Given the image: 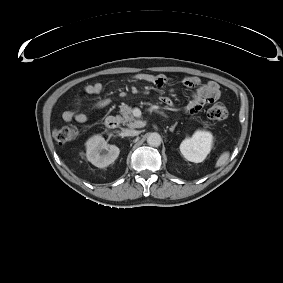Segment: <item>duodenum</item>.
Segmentation results:
<instances>
[{
	"mask_svg": "<svg viewBox=\"0 0 283 283\" xmlns=\"http://www.w3.org/2000/svg\"><path fill=\"white\" fill-rule=\"evenodd\" d=\"M119 125V119L116 116H108L105 119V126L108 129H115Z\"/></svg>",
	"mask_w": 283,
	"mask_h": 283,
	"instance_id": "1",
	"label": "duodenum"
}]
</instances>
